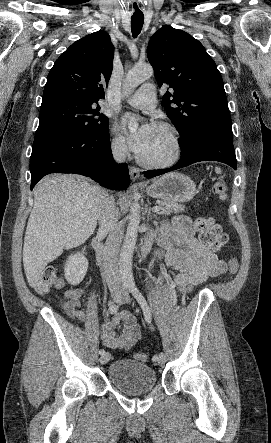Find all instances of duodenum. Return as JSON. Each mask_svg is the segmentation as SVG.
Instances as JSON below:
<instances>
[{
  "label": "duodenum",
  "instance_id": "1",
  "mask_svg": "<svg viewBox=\"0 0 271 443\" xmlns=\"http://www.w3.org/2000/svg\"><path fill=\"white\" fill-rule=\"evenodd\" d=\"M94 248L97 259L101 263L105 271H110L113 267L116 258V245L113 241L102 243L99 241L94 242Z\"/></svg>",
  "mask_w": 271,
  "mask_h": 443
}]
</instances>
